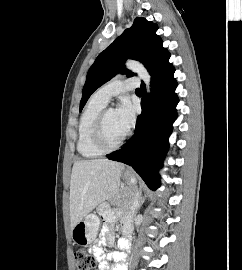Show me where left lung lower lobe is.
I'll return each mask as SVG.
<instances>
[{"instance_id": "obj_1", "label": "left lung lower lobe", "mask_w": 242, "mask_h": 270, "mask_svg": "<svg viewBox=\"0 0 242 270\" xmlns=\"http://www.w3.org/2000/svg\"><path fill=\"white\" fill-rule=\"evenodd\" d=\"M174 71L168 61L156 67L151 72L150 95L146 94L142 82V113L137 118L135 134L124 148L106 155L132 166L152 190L160 186L158 170L167 153L172 123L177 117L175 107L179 100L175 94Z\"/></svg>"}]
</instances>
